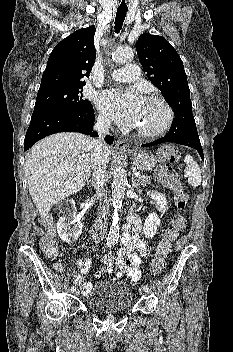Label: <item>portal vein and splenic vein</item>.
Returning <instances> with one entry per match:
<instances>
[{"label":"portal vein and splenic vein","mask_w":233,"mask_h":352,"mask_svg":"<svg viewBox=\"0 0 233 352\" xmlns=\"http://www.w3.org/2000/svg\"><path fill=\"white\" fill-rule=\"evenodd\" d=\"M134 175H135V177H139V176H140V173H139V172H136Z\"/></svg>","instance_id":"18ae733b"}]
</instances>
